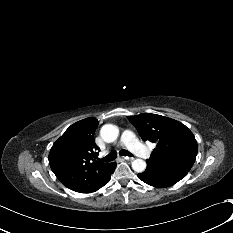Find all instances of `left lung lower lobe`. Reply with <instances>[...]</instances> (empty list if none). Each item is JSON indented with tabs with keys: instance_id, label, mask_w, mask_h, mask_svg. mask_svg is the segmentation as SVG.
I'll return each mask as SVG.
<instances>
[{
	"instance_id": "obj_1",
	"label": "left lung lower lobe",
	"mask_w": 233,
	"mask_h": 233,
	"mask_svg": "<svg viewBox=\"0 0 233 233\" xmlns=\"http://www.w3.org/2000/svg\"><path fill=\"white\" fill-rule=\"evenodd\" d=\"M138 177L148 185L156 188L169 187L181 179L174 177L159 168L147 163V168L144 172L138 174Z\"/></svg>"
}]
</instances>
